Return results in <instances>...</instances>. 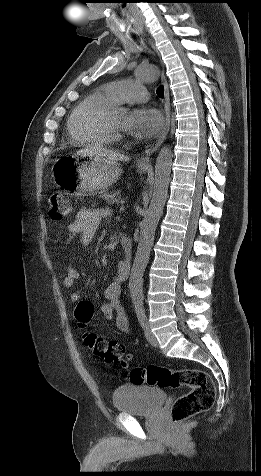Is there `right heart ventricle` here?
<instances>
[{
	"mask_svg": "<svg viewBox=\"0 0 261 476\" xmlns=\"http://www.w3.org/2000/svg\"><path fill=\"white\" fill-rule=\"evenodd\" d=\"M117 104L104 89L87 95L68 117L67 129L72 141L78 145L109 144L114 135L106 129L105 118Z\"/></svg>",
	"mask_w": 261,
	"mask_h": 476,
	"instance_id": "right-heart-ventricle-1",
	"label": "right heart ventricle"
}]
</instances>
